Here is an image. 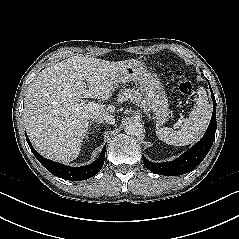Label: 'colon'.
Returning a JSON list of instances; mask_svg holds the SVG:
<instances>
[{"label":"colon","instance_id":"obj_1","mask_svg":"<svg viewBox=\"0 0 239 239\" xmlns=\"http://www.w3.org/2000/svg\"><path fill=\"white\" fill-rule=\"evenodd\" d=\"M179 80V90L180 92L187 96L191 97L194 94V87L193 84L183 77L182 73H178Z\"/></svg>","mask_w":239,"mask_h":239}]
</instances>
